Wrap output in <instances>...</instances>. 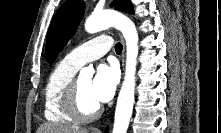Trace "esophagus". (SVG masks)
Returning <instances> with one entry per match:
<instances>
[{
    "mask_svg": "<svg viewBox=\"0 0 221 133\" xmlns=\"http://www.w3.org/2000/svg\"><path fill=\"white\" fill-rule=\"evenodd\" d=\"M123 40V37L121 34H119ZM124 56H125V44H124V41H123V52H122V66L124 67ZM93 133H101V130L100 129H94L93 130Z\"/></svg>",
    "mask_w": 221,
    "mask_h": 133,
    "instance_id": "1",
    "label": "esophagus"
}]
</instances>
